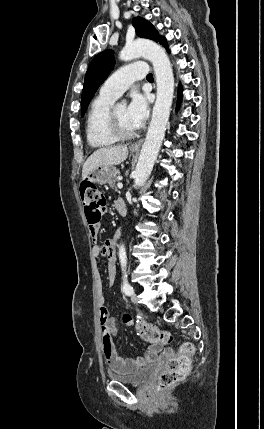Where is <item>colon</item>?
Here are the masks:
<instances>
[{
	"label": "colon",
	"instance_id": "1",
	"mask_svg": "<svg viewBox=\"0 0 264 429\" xmlns=\"http://www.w3.org/2000/svg\"><path fill=\"white\" fill-rule=\"evenodd\" d=\"M80 195L88 223L91 226H96L107 207L104 195L90 181L81 183ZM123 322L126 325L134 326L138 336L151 344L163 346L170 344L173 340L170 332L162 330L152 323L134 320L128 314L123 315ZM194 352L195 349L191 343H184L177 353L168 355L166 367L159 376V390H165L189 375Z\"/></svg>",
	"mask_w": 264,
	"mask_h": 429
}]
</instances>
